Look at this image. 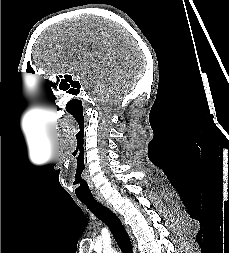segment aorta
<instances>
[{
  "instance_id": "aorta-1",
  "label": "aorta",
  "mask_w": 229,
  "mask_h": 253,
  "mask_svg": "<svg viewBox=\"0 0 229 253\" xmlns=\"http://www.w3.org/2000/svg\"><path fill=\"white\" fill-rule=\"evenodd\" d=\"M103 253H117V252L112 248H106L104 249Z\"/></svg>"
}]
</instances>
